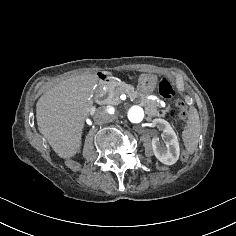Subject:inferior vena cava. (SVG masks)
<instances>
[{"mask_svg":"<svg viewBox=\"0 0 236 236\" xmlns=\"http://www.w3.org/2000/svg\"><path fill=\"white\" fill-rule=\"evenodd\" d=\"M94 121L98 124V125H103L106 120L103 118V115L101 113V111L99 110H95L94 115H93Z\"/></svg>","mask_w":236,"mask_h":236,"instance_id":"602c4592","label":"inferior vena cava"}]
</instances>
